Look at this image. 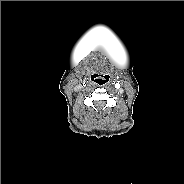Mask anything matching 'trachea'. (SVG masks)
<instances>
[{
    "label": "trachea",
    "mask_w": 184,
    "mask_h": 184,
    "mask_svg": "<svg viewBox=\"0 0 184 184\" xmlns=\"http://www.w3.org/2000/svg\"><path fill=\"white\" fill-rule=\"evenodd\" d=\"M96 83L98 84V85H103L105 82H104V80H96Z\"/></svg>",
    "instance_id": "trachea-1"
}]
</instances>
